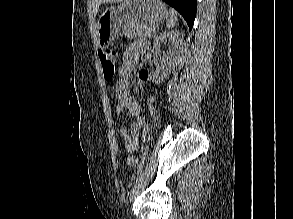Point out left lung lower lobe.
Listing matches in <instances>:
<instances>
[{
  "mask_svg": "<svg viewBox=\"0 0 293 219\" xmlns=\"http://www.w3.org/2000/svg\"><path fill=\"white\" fill-rule=\"evenodd\" d=\"M171 7L175 8L186 20L191 30L197 10V0H163Z\"/></svg>",
  "mask_w": 293,
  "mask_h": 219,
  "instance_id": "0a47b994",
  "label": "left lung lower lobe"
}]
</instances>
